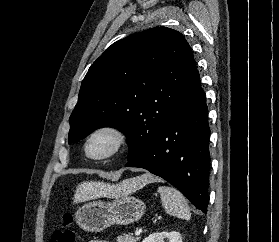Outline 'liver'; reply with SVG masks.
I'll list each match as a JSON object with an SVG mask.
<instances>
[{"label":"liver","mask_w":279,"mask_h":242,"mask_svg":"<svg viewBox=\"0 0 279 242\" xmlns=\"http://www.w3.org/2000/svg\"><path fill=\"white\" fill-rule=\"evenodd\" d=\"M154 180L152 176L146 174L135 179L126 180L121 185L126 193H132ZM112 190L113 187L103 182H83L76 188L74 203L108 195Z\"/></svg>","instance_id":"6515ba94"}]
</instances>
